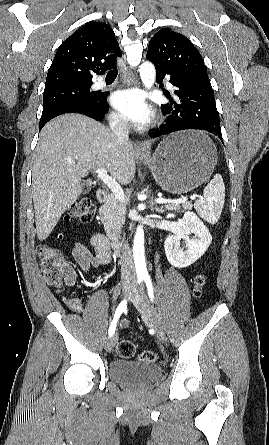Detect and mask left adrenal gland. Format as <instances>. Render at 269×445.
I'll use <instances>...</instances> for the list:
<instances>
[{
    "label": "left adrenal gland",
    "mask_w": 269,
    "mask_h": 445,
    "mask_svg": "<svg viewBox=\"0 0 269 445\" xmlns=\"http://www.w3.org/2000/svg\"><path fill=\"white\" fill-rule=\"evenodd\" d=\"M152 210H155L158 213H162L163 212V209L159 208V207H154V208L152 207Z\"/></svg>",
    "instance_id": "1"
}]
</instances>
